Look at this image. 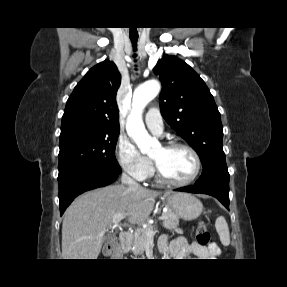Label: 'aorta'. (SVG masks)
Masks as SVG:
<instances>
[{
  "label": "aorta",
  "instance_id": "aorta-1",
  "mask_svg": "<svg viewBox=\"0 0 287 287\" xmlns=\"http://www.w3.org/2000/svg\"><path fill=\"white\" fill-rule=\"evenodd\" d=\"M159 91L160 84L157 81H148L137 87L133 93L132 109L127 118V134L144 154L149 153L158 145V141L152 138L145 129L142 113L146 105L157 96Z\"/></svg>",
  "mask_w": 287,
  "mask_h": 287
}]
</instances>
